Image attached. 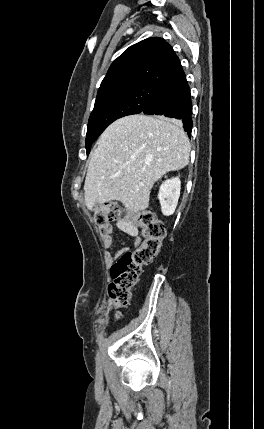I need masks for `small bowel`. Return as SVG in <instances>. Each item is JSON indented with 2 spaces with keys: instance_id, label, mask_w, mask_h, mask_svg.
Instances as JSON below:
<instances>
[{
  "instance_id": "obj_1",
  "label": "small bowel",
  "mask_w": 264,
  "mask_h": 429,
  "mask_svg": "<svg viewBox=\"0 0 264 429\" xmlns=\"http://www.w3.org/2000/svg\"><path fill=\"white\" fill-rule=\"evenodd\" d=\"M124 232H126L127 234L131 235L134 237V245H139L140 244V237L138 236L136 230L132 229V228H127L125 227ZM112 231H113V227L111 224H107L105 225L101 230H100V234H101V240H102V244L104 246V248L106 249H111L114 245V239L112 237ZM119 253H117L115 256H112L109 252L105 253V260L107 263H112L115 259V257L118 255Z\"/></svg>"
}]
</instances>
